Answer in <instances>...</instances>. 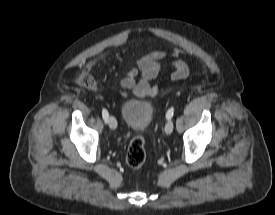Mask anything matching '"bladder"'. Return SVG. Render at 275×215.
Masks as SVG:
<instances>
[{
	"mask_svg": "<svg viewBox=\"0 0 275 215\" xmlns=\"http://www.w3.org/2000/svg\"><path fill=\"white\" fill-rule=\"evenodd\" d=\"M153 105L143 99H128L121 109L125 125L132 131H142L148 128L153 117Z\"/></svg>",
	"mask_w": 275,
	"mask_h": 215,
	"instance_id": "obj_1",
	"label": "bladder"
}]
</instances>
